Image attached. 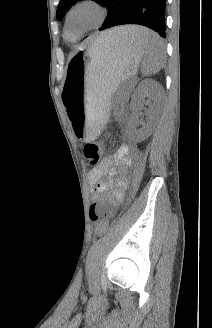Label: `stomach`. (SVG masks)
I'll return each instance as SVG.
<instances>
[{"instance_id":"obj_1","label":"stomach","mask_w":212,"mask_h":328,"mask_svg":"<svg viewBox=\"0 0 212 328\" xmlns=\"http://www.w3.org/2000/svg\"><path fill=\"white\" fill-rule=\"evenodd\" d=\"M144 51L123 39L95 40L68 63L62 100L79 139H96L109 117L111 95L138 71Z\"/></svg>"}]
</instances>
